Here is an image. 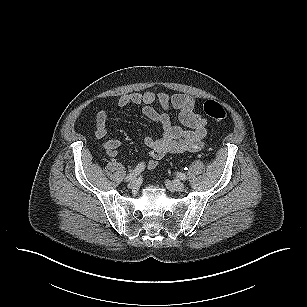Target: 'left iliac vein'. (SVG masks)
Here are the masks:
<instances>
[{
	"mask_svg": "<svg viewBox=\"0 0 307 307\" xmlns=\"http://www.w3.org/2000/svg\"><path fill=\"white\" fill-rule=\"evenodd\" d=\"M166 186L170 191L182 192L185 190V185L179 180L166 181Z\"/></svg>",
	"mask_w": 307,
	"mask_h": 307,
	"instance_id": "obj_1",
	"label": "left iliac vein"
}]
</instances>
